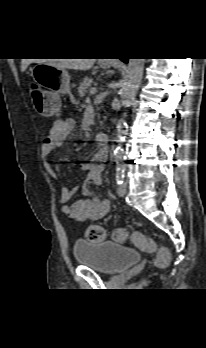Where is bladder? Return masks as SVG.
I'll return each instance as SVG.
<instances>
[{
  "mask_svg": "<svg viewBox=\"0 0 206 348\" xmlns=\"http://www.w3.org/2000/svg\"><path fill=\"white\" fill-rule=\"evenodd\" d=\"M73 251L78 265L110 275L120 273L141 259L135 249L112 241H76Z\"/></svg>",
  "mask_w": 206,
  "mask_h": 348,
  "instance_id": "obj_1",
  "label": "bladder"
}]
</instances>
